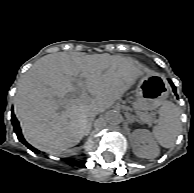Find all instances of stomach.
<instances>
[{"label":"stomach","instance_id":"stomach-1","mask_svg":"<svg viewBox=\"0 0 194 193\" xmlns=\"http://www.w3.org/2000/svg\"><path fill=\"white\" fill-rule=\"evenodd\" d=\"M167 96L168 88L164 77L157 74L141 75L136 88V110L141 112L155 110Z\"/></svg>","mask_w":194,"mask_h":193}]
</instances>
